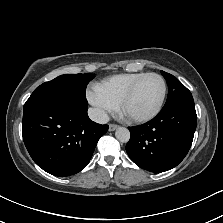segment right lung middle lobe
<instances>
[{
  "instance_id": "right-lung-middle-lobe-1",
  "label": "right lung middle lobe",
  "mask_w": 223,
  "mask_h": 223,
  "mask_svg": "<svg viewBox=\"0 0 223 223\" xmlns=\"http://www.w3.org/2000/svg\"><path fill=\"white\" fill-rule=\"evenodd\" d=\"M94 74H65L38 86L24 104V110L38 105L72 103L87 106L85 92Z\"/></svg>"
}]
</instances>
